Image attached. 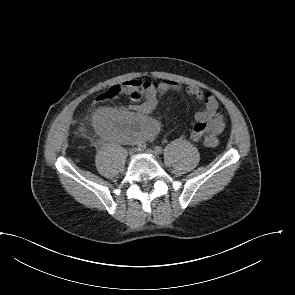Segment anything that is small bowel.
I'll return each mask as SVG.
<instances>
[{"label": "small bowel", "instance_id": "c3829d8e", "mask_svg": "<svg viewBox=\"0 0 295 295\" xmlns=\"http://www.w3.org/2000/svg\"><path fill=\"white\" fill-rule=\"evenodd\" d=\"M121 90L135 102L132 111L101 108L93 116L98 132L114 141L134 143L152 139L158 132V123L150 117L159 98L170 91H180L182 86L174 81L149 82L130 80L121 85ZM185 92L202 104L195 114L191 138L199 141L206 134L219 135L224 129V117L219 112V103L211 93H204L196 86H186Z\"/></svg>", "mask_w": 295, "mask_h": 295}]
</instances>
